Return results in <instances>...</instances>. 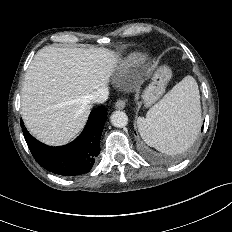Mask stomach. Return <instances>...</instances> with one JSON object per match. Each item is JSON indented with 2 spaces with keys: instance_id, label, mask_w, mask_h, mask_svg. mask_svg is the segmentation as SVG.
Instances as JSON below:
<instances>
[{
  "instance_id": "0dacf381",
  "label": "stomach",
  "mask_w": 232,
  "mask_h": 232,
  "mask_svg": "<svg viewBox=\"0 0 232 232\" xmlns=\"http://www.w3.org/2000/svg\"><path fill=\"white\" fill-rule=\"evenodd\" d=\"M171 78V70L166 65L157 68L151 83L145 88L141 97L146 107L154 105L164 94L166 85Z\"/></svg>"
}]
</instances>
